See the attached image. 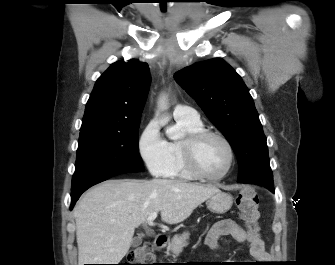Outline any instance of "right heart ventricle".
Here are the masks:
<instances>
[{"label":"right heart ventricle","instance_id":"e07e8e85","mask_svg":"<svg viewBox=\"0 0 335 265\" xmlns=\"http://www.w3.org/2000/svg\"><path fill=\"white\" fill-rule=\"evenodd\" d=\"M177 124L182 127L187 134L194 133L203 130V124L201 121L190 122L186 120L176 119ZM169 148L171 152V164L164 175L170 179H178L184 181L194 180L195 177L187 170L182 151V140H174L169 142Z\"/></svg>","mask_w":335,"mask_h":265}]
</instances>
